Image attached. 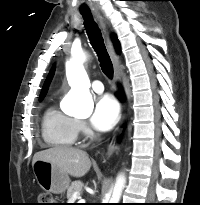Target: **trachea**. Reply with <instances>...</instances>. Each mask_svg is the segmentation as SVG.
<instances>
[{"instance_id":"obj_1","label":"trachea","mask_w":200,"mask_h":205,"mask_svg":"<svg viewBox=\"0 0 200 205\" xmlns=\"http://www.w3.org/2000/svg\"><path fill=\"white\" fill-rule=\"evenodd\" d=\"M82 16L90 43L98 55L101 69L111 79L113 77V65L105 47L102 33L91 13H82Z\"/></svg>"}]
</instances>
